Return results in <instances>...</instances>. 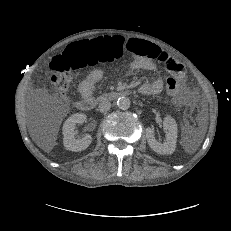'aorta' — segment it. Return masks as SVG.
I'll use <instances>...</instances> for the list:
<instances>
[{"mask_svg":"<svg viewBox=\"0 0 231 231\" xmlns=\"http://www.w3.org/2000/svg\"><path fill=\"white\" fill-rule=\"evenodd\" d=\"M130 99L128 97L122 96L119 97L117 100V106L119 109L125 110L128 109L130 107Z\"/></svg>","mask_w":231,"mask_h":231,"instance_id":"obj_1","label":"aorta"}]
</instances>
